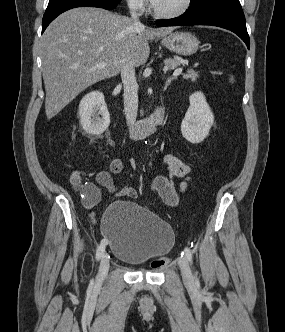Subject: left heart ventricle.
Returning a JSON list of instances; mask_svg holds the SVG:
<instances>
[{"mask_svg": "<svg viewBox=\"0 0 285 332\" xmlns=\"http://www.w3.org/2000/svg\"><path fill=\"white\" fill-rule=\"evenodd\" d=\"M184 3V0H160L155 6L161 12H173L179 9Z\"/></svg>", "mask_w": 285, "mask_h": 332, "instance_id": "obj_1", "label": "left heart ventricle"}]
</instances>
